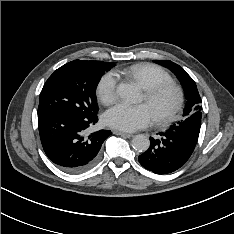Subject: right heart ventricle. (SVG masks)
Instances as JSON below:
<instances>
[{"instance_id":"e07e8e85","label":"right heart ventricle","mask_w":234,"mask_h":234,"mask_svg":"<svg viewBox=\"0 0 234 234\" xmlns=\"http://www.w3.org/2000/svg\"><path fill=\"white\" fill-rule=\"evenodd\" d=\"M123 73L134 79L144 90L159 83L173 82L168 72L149 63L132 65L123 70Z\"/></svg>"}]
</instances>
